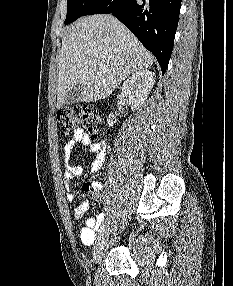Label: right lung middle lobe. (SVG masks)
Instances as JSON below:
<instances>
[{
    "label": "right lung middle lobe",
    "instance_id": "1",
    "mask_svg": "<svg viewBox=\"0 0 233 286\" xmlns=\"http://www.w3.org/2000/svg\"><path fill=\"white\" fill-rule=\"evenodd\" d=\"M97 0H67V16L65 25L74 22L96 2Z\"/></svg>",
    "mask_w": 233,
    "mask_h": 286
}]
</instances>
